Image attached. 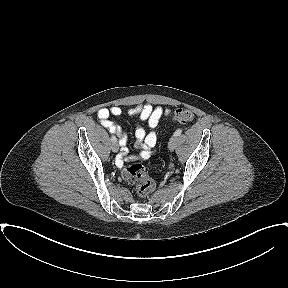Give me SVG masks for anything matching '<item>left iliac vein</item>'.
<instances>
[{"label": "left iliac vein", "instance_id": "left-iliac-vein-1", "mask_svg": "<svg viewBox=\"0 0 288 288\" xmlns=\"http://www.w3.org/2000/svg\"><path fill=\"white\" fill-rule=\"evenodd\" d=\"M176 144H177V137L172 136L169 140V143H168L169 150L173 151L176 147Z\"/></svg>", "mask_w": 288, "mask_h": 288}]
</instances>
